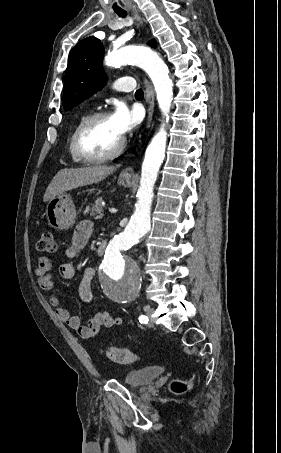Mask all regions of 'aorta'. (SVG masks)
Listing matches in <instances>:
<instances>
[{"instance_id":"aorta-1","label":"aorta","mask_w":281,"mask_h":453,"mask_svg":"<svg viewBox=\"0 0 281 453\" xmlns=\"http://www.w3.org/2000/svg\"><path fill=\"white\" fill-rule=\"evenodd\" d=\"M107 66L133 64L142 68L152 80L162 115L169 119L173 100L169 69L158 54L148 47H125L105 57ZM167 132L163 123L148 145L141 170L135 212L124 231L109 243L101 264L100 284L106 296L116 302L131 301L141 287V273L136 262L123 251L137 244L150 230L153 188L165 156Z\"/></svg>"}]
</instances>
